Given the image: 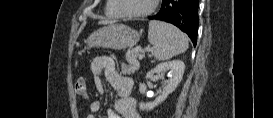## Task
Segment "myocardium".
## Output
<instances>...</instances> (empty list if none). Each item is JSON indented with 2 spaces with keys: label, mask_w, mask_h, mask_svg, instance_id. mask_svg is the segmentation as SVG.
<instances>
[{
  "label": "myocardium",
  "mask_w": 273,
  "mask_h": 118,
  "mask_svg": "<svg viewBox=\"0 0 273 118\" xmlns=\"http://www.w3.org/2000/svg\"><path fill=\"white\" fill-rule=\"evenodd\" d=\"M158 1L159 0H152V4L147 10L139 12V13H129V12H127L125 10V8H124L122 0H115V3H116V6H117L118 10L120 11V13L124 17L129 18V19H137V18L147 17L151 13H153L155 11L156 7H157Z\"/></svg>",
  "instance_id": "1"
}]
</instances>
